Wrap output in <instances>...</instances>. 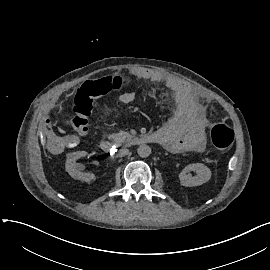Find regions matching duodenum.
Masks as SVG:
<instances>
[{"mask_svg":"<svg viewBox=\"0 0 270 270\" xmlns=\"http://www.w3.org/2000/svg\"><path fill=\"white\" fill-rule=\"evenodd\" d=\"M128 143L135 146L158 143L160 144V138L156 133L146 134L142 136H132L128 139ZM100 148L107 154L113 153L116 148V144L109 139H104L100 143Z\"/></svg>","mask_w":270,"mask_h":270,"instance_id":"410a0bca","label":"duodenum"}]
</instances>
